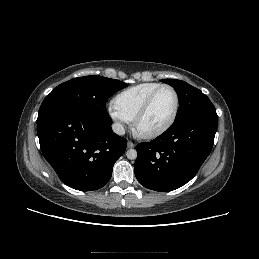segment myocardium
Instances as JSON below:
<instances>
[{"label": "myocardium", "instance_id": "obj_1", "mask_svg": "<svg viewBox=\"0 0 259 259\" xmlns=\"http://www.w3.org/2000/svg\"><path fill=\"white\" fill-rule=\"evenodd\" d=\"M163 88H168L170 89L174 96H175V106L172 112V115L170 116V118L168 119V121L162 125L160 128L151 131V132H142L139 129V125L140 122L143 120V118L147 115L152 102L156 96V94ZM179 107H180V97H179V93L178 91L169 84H161L159 85L157 88H155L147 97V99L145 100L144 104L142 105V107L140 108V110L138 111V113L136 114L134 120H133V127H134V131L136 132V134L142 138L145 139H153V138H157L159 136H161L162 134H164L175 122L178 112H179Z\"/></svg>", "mask_w": 259, "mask_h": 259}]
</instances>
